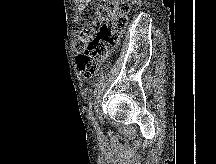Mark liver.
Wrapping results in <instances>:
<instances>
[{"label": "liver", "mask_w": 216, "mask_h": 164, "mask_svg": "<svg viewBox=\"0 0 216 164\" xmlns=\"http://www.w3.org/2000/svg\"><path fill=\"white\" fill-rule=\"evenodd\" d=\"M81 1H84V2H86V3H87V2H89V1H91V0H81Z\"/></svg>", "instance_id": "6515ba94"}]
</instances>
